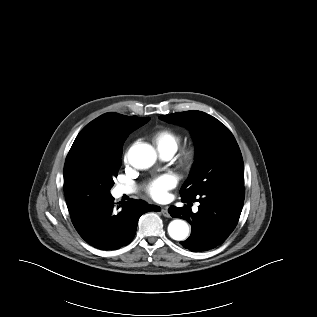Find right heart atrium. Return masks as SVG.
Wrapping results in <instances>:
<instances>
[{
    "instance_id": "d8ad5b80",
    "label": "right heart atrium",
    "mask_w": 317,
    "mask_h": 317,
    "mask_svg": "<svg viewBox=\"0 0 317 317\" xmlns=\"http://www.w3.org/2000/svg\"><path fill=\"white\" fill-rule=\"evenodd\" d=\"M126 159H127V156H126V154H125V156H124V160L126 161Z\"/></svg>"
}]
</instances>
